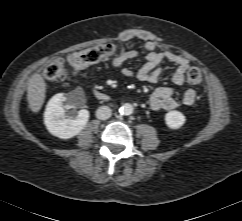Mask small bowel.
Returning a JSON list of instances; mask_svg holds the SVG:
<instances>
[{
	"mask_svg": "<svg viewBox=\"0 0 242 221\" xmlns=\"http://www.w3.org/2000/svg\"><path fill=\"white\" fill-rule=\"evenodd\" d=\"M120 39L122 41H129L132 39H141L145 41L144 49L146 51L145 60L138 68L123 67L121 74L127 78H135L142 82L155 83L160 76V69L158 65L163 61H168L176 66V70L172 75V82L176 86H181L184 83L185 72L189 67V61L171 51H156V44L147 33L140 31L124 32ZM137 52L126 51L111 60L113 68H119L121 65L135 57ZM196 100V92L193 89L184 91L181 97V102L185 106L192 105ZM149 105L151 109L158 110H172L178 106L176 100V91L172 87H159L150 97Z\"/></svg>",
	"mask_w": 242,
	"mask_h": 221,
	"instance_id": "small-bowel-1",
	"label": "small bowel"
}]
</instances>
